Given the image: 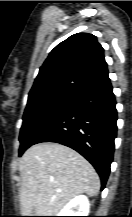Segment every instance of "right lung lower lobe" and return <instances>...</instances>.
Returning <instances> with one entry per match:
<instances>
[{"instance_id":"right-lung-lower-lobe-1","label":"right lung lower lobe","mask_w":132,"mask_h":217,"mask_svg":"<svg viewBox=\"0 0 132 217\" xmlns=\"http://www.w3.org/2000/svg\"><path fill=\"white\" fill-rule=\"evenodd\" d=\"M115 105L110 81L79 94L34 144L56 142L76 150L94 166L103 190L117 133Z\"/></svg>"}]
</instances>
